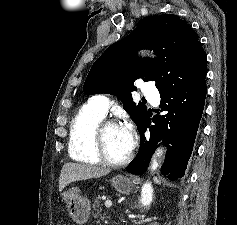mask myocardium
Instances as JSON below:
<instances>
[{"label":"myocardium","instance_id":"1","mask_svg":"<svg viewBox=\"0 0 237 225\" xmlns=\"http://www.w3.org/2000/svg\"><path fill=\"white\" fill-rule=\"evenodd\" d=\"M119 126V124L114 120L102 119L94 128L93 139L96 155L98 156L100 162L111 166V167H121L126 165L131 157L132 153L130 152L124 159L120 161L111 160L106 153L104 146V134L109 127Z\"/></svg>","mask_w":237,"mask_h":225}]
</instances>
